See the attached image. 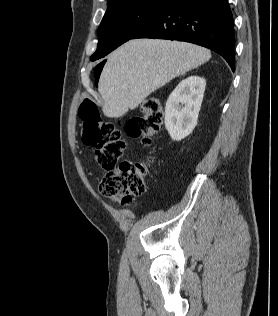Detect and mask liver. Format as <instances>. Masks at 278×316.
<instances>
[{
	"label": "liver",
	"mask_w": 278,
	"mask_h": 316,
	"mask_svg": "<svg viewBox=\"0 0 278 316\" xmlns=\"http://www.w3.org/2000/svg\"><path fill=\"white\" fill-rule=\"evenodd\" d=\"M211 52L186 42L136 39L116 49L102 70L98 91L103 113L119 118L177 76L199 67Z\"/></svg>",
	"instance_id": "6515ba94"
}]
</instances>
